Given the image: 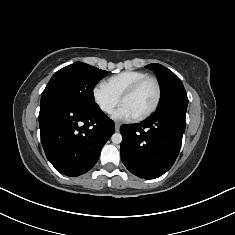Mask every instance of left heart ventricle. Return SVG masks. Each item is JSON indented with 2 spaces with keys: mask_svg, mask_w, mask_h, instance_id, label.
Returning <instances> with one entry per match:
<instances>
[{
  "mask_svg": "<svg viewBox=\"0 0 235 235\" xmlns=\"http://www.w3.org/2000/svg\"><path fill=\"white\" fill-rule=\"evenodd\" d=\"M156 98V87L151 81L146 82L135 94L125 98L122 104L128 106L136 116L147 111Z\"/></svg>",
  "mask_w": 235,
  "mask_h": 235,
  "instance_id": "obj_1",
  "label": "left heart ventricle"
}]
</instances>
